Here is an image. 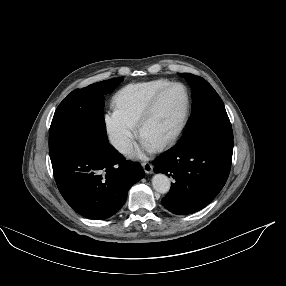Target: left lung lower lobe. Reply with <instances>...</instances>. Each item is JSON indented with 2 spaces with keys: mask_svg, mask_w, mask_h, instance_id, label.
I'll list each match as a JSON object with an SVG mask.
<instances>
[{
  "mask_svg": "<svg viewBox=\"0 0 286 286\" xmlns=\"http://www.w3.org/2000/svg\"><path fill=\"white\" fill-rule=\"evenodd\" d=\"M233 140H203L167 150L154 161V171L172 176L162 204L172 213L186 215L207 206L228 178Z\"/></svg>",
  "mask_w": 286,
  "mask_h": 286,
  "instance_id": "0a47b994",
  "label": "left lung lower lobe"
}]
</instances>
